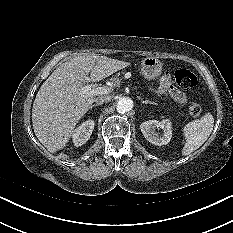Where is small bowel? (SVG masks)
I'll return each instance as SVG.
<instances>
[{
  "mask_svg": "<svg viewBox=\"0 0 233 233\" xmlns=\"http://www.w3.org/2000/svg\"><path fill=\"white\" fill-rule=\"evenodd\" d=\"M159 92L167 93L175 102L184 104L187 101L186 95L176 88L168 76H163L159 81Z\"/></svg>",
  "mask_w": 233,
  "mask_h": 233,
  "instance_id": "obj_1",
  "label": "small bowel"
}]
</instances>
